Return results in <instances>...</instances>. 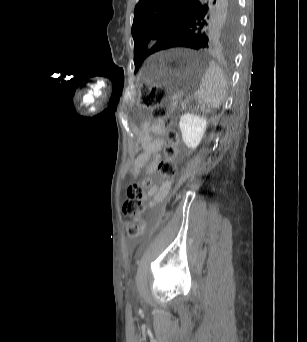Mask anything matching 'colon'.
I'll use <instances>...</instances> for the list:
<instances>
[{
    "instance_id": "colon-1",
    "label": "colon",
    "mask_w": 307,
    "mask_h": 342,
    "mask_svg": "<svg viewBox=\"0 0 307 342\" xmlns=\"http://www.w3.org/2000/svg\"><path fill=\"white\" fill-rule=\"evenodd\" d=\"M140 93L142 105L147 107L151 116L158 122H167L168 110L166 107L165 94L168 93L167 87H149L148 82L140 83ZM171 145L165 148V157L158 164V174L164 178L172 177L175 174L174 159L179 154L178 134L175 131L169 133ZM153 178L145 176L141 182L130 184L127 190V198L123 203L124 214L130 217L127 223V235L132 239H137L146 230V224L141 219L145 211V192L152 186Z\"/></svg>"
}]
</instances>
